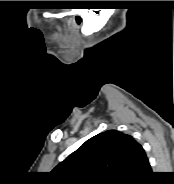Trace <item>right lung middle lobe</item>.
<instances>
[{"label": "right lung middle lobe", "instance_id": "right-lung-middle-lobe-1", "mask_svg": "<svg viewBox=\"0 0 174 184\" xmlns=\"http://www.w3.org/2000/svg\"><path fill=\"white\" fill-rule=\"evenodd\" d=\"M122 182H119V183H115V184H121Z\"/></svg>", "mask_w": 174, "mask_h": 184}]
</instances>
